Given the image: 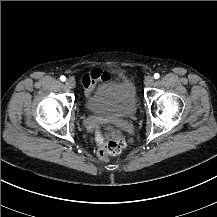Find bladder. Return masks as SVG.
I'll use <instances>...</instances> for the list:
<instances>
[{
  "mask_svg": "<svg viewBox=\"0 0 217 217\" xmlns=\"http://www.w3.org/2000/svg\"><path fill=\"white\" fill-rule=\"evenodd\" d=\"M86 109L92 114L107 115L118 119L133 116L138 110V99L129 83L104 84L85 101Z\"/></svg>",
  "mask_w": 217,
  "mask_h": 217,
  "instance_id": "bladder-1",
  "label": "bladder"
}]
</instances>
